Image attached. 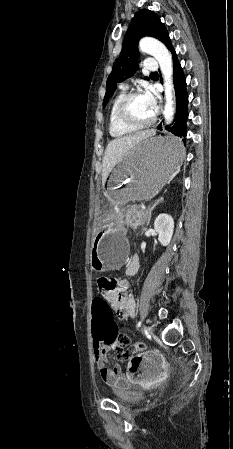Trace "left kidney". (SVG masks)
I'll return each mask as SVG.
<instances>
[{"mask_svg": "<svg viewBox=\"0 0 233 449\" xmlns=\"http://www.w3.org/2000/svg\"><path fill=\"white\" fill-rule=\"evenodd\" d=\"M154 230L158 234V240L162 246H167L174 231V220L168 214H160L154 221Z\"/></svg>", "mask_w": 233, "mask_h": 449, "instance_id": "obj_1", "label": "left kidney"}]
</instances>
